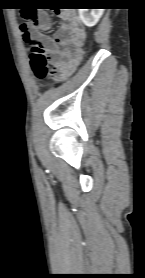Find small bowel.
Listing matches in <instances>:
<instances>
[{"label": "small bowel", "instance_id": "small-bowel-1", "mask_svg": "<svg viewBox=\"0 0 145 278\" xmlns=\"http://www.w3.org/2000/svg\"><path fill=\"white\" fill-rule=\"evenodd\" d=\"M58 14L63 22L54 37L45 33L51 28V19L45 12L21 24L20 30L22 34L31 35L42 46L51 64V76L62 79L74 71L83 58L85 31L74 12Z\"/></svg>", "mask_w": 145, "mask_h": 278}]
</instances>
